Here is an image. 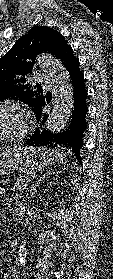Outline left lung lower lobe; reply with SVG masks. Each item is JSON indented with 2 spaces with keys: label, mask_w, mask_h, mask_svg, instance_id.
<instances>
[{
  "label": "left lung lower lobe",
  "mask_w": 113,
  "mask_h": 279,
  "mask_svg": "<svg viewBox=\"0 0 113 279\" xmlns=\"http://www.w3.org/2000/svg\"><path fill=\"white\" fill-rule=\"evenodd\" d=\"M62 64L69 72L74 88V110L71 123L65 131L59 133H51L46 130L40 132L39 128H36V131L30 139L26 140V144L34 147L48 146L52 144L66 147L71 149L77 158H80V150L83 147V133L87 127L85 121V116L87 114V105L85 101L87 91L83 83L84 76L79 69V61L74 56L72 49L62 60ZM50 99L49 95H46L42 98L39 104H35L33 111L38 121H41L42 108L45 106L46 102L50 101ZM46 120L47 117L44 116L42 118V124L45 123Z\"/></svg>",
  "instance_id": "left-lung-lower-lobe-1"
}]
</instances>
